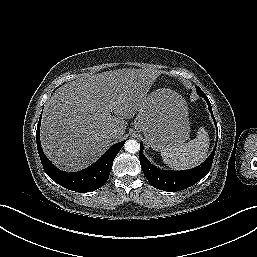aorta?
Here are the masks:
<instances>
[{
	"label": "aorta",
	"instance_id": "762f6f07",
	"mask_svg": "<svg viewBox=\"0 0 257 257\" xmlns=\"http://www.w3.org/2000/svg\"><path fill=\"white\" fill-rule=\"evenodd\" d=\"M124 147H125V150L129 153H136L139 151V148H140L139 143L133 139L127 140Z\"/></svg>",
	"mask_w": 257,
	"mask_h": 257
}]
</instances>
